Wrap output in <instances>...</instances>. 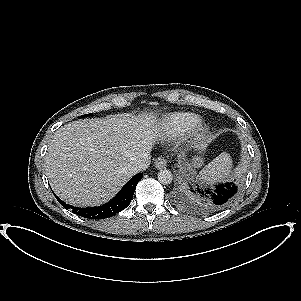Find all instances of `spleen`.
Instances as JSON below:
<instances>
[{"label":"spleen","mask_w":301,"mask_h":301,"mask_svg":"<svg viewBox=\"0 0 301 301\" xmlns=\"http://www.w3.org/2000/svg\"><path fill=\"white\" fill-rule=\"evenodd\" d=\"M232 163L230 154L223 152L201 170L200 178L210 183L223 182L230 176Z\"/></svg>","instance_id":"1"}]
</instances>
